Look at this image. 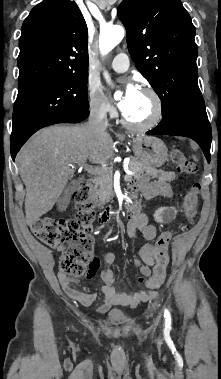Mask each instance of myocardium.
Here are the masks:
<instances>
[{"label": "myocardium", "mask_w": 221, "mask_h": 379, "mask_svg": "<svg viewBox=\"0 0 221 379\" xmlns=\"http://www.w3.org/2000/svg\"><path fill=\"white\" fill-rule=\"evenodd\" d=\"M141 93L150 97L153 102V113L151 117L145 122L136 123L128 120L123 113L121 121L127 128L138 131H147L156 127L160 123L163 117V103L161 97L153 88H143Z\"/></svg>", "instance_id": "1"}]
</instances>
